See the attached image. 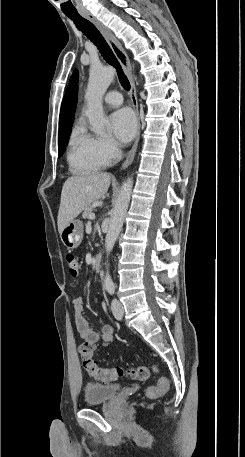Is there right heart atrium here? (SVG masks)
<instances>
[{"label":"right heart atrium","mask_w":245,"mask_h":457,"mask_svg":"<svg viewBox=\"0 0 245 457\" xmlns=\"http://www.w3.org/2000/svg\"><path fill=\"white\" fill-rule=\"evenodd\" d=\"M89 139L97 154L107 163L113 162L119 157L120 149L114 140L92 135H89Z\"/></svg>","instance_id":"obj_1"}]
</instances>
